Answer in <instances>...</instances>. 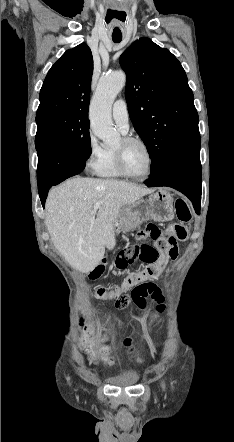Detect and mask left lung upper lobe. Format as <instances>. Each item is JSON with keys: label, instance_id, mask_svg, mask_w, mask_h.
I'll return each instance as SVG.
<instances>
[{"label": "left lung upper lobe", "instance_id": "obj_1", "mask_svg": "<svg viewBox=\"0 0 234 442\" xmlns=\"http://www.w3.org/2000/svg\"><path fill=\"white\" fill-rule=\"evenodd\" d=\"M120 65L127 75L130 119L148 149L153 175L181 140L199 131L193 93L177 58L148 38L130 45Z\"/></svg>", "mask_w": 234, "mask_h": 442}]
</instances>
